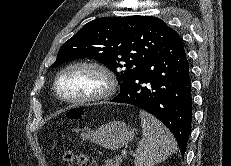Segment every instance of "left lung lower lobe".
<instances>
[{"label": "left lung lower lobe", "mask_w": 231, "mask_h": 166, "mask_svg": "<svg viewBox=\"0 0 231 166\" xmlns=\"http://www.w3.org/2000/svg\"><path fill=\"white\" fill-rule=\"evenodd\" d=\"M141 108L158 118L175 136L184 155L192 121L189 63L176 32L112 100Z\"/></svg>", "instance_id": "0a47b994"}]
</instances>
